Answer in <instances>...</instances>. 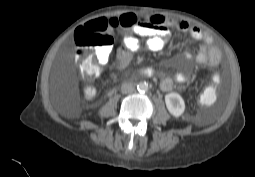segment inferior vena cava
I'll return each mask as SVG.
<instances>
[{"label":"inferior vena cava","mask_w":255,"mask_h":177,"mask_svg":"<svg viewBox=\"0 0 255 177\" xmlns=\"http://www.w3.org/2000/svg\"><path fill=\"white\" fill-rule=\"evenodd\" d=\"M135 91V86L132 83H123L121 86V92L123 94H129Z\"/></svg>","instance_id":"602c4592"}]
</instances>
